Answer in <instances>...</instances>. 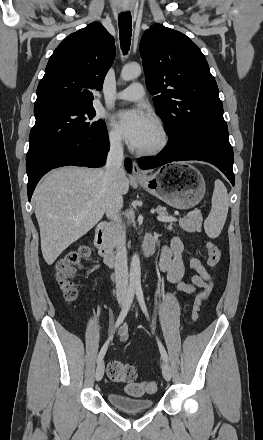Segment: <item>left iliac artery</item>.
<instances>
[{
	"label": "left iliac artery",
	"instance_id": "44dca946",
	"mask_svg": "<svg viewBox=\"0 0 263 440\" xmlns=\"http://www.w3.org/2000/svg\"><path fill=\"white\" fill-rule=\"evenodd\" d=\"M136 295H137V299L139 301V304L141 306V309H142L143 313L145 314L147 320L150 322V317H149L148 310H147V307H146V304H145V301H144L143 291H142V289L140 287H138L136 289ZM151 328H152V332L154 333L155 332V328H154L153 324H151ZM157 343H158L159 350H160L162 358L165 361H168V356H167L166 350H165V348L163 347L162 343L160 342V340L158 338H157Z\"/></svg>",
	"mask_w": 263,
	"mask_h": 440
}]
</instances>
